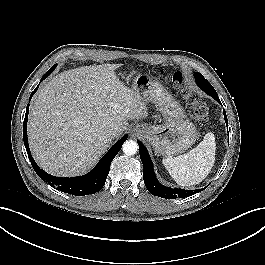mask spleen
<instances>
[{
  "instance_id": "1",
  "label": "spleen",
  "mask_w": 265,
  "mask_h": 265,
  "mask_svg": "<svg viewBox=\"0 0 265 265\" xmlns=\"http://www.w3.org/2000/svg\"><path fill=\"white\" fill-rule=\"evenodd\" d=\"M215 151V136L209 132L190 152L174 158H165L162 163L177 184L195 185L202 182L211 172L215 162Z\"/></svg>"
}]
</instances>
